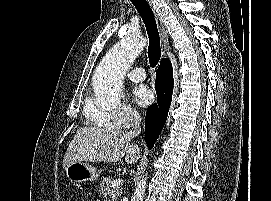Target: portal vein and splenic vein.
<instances>
[{
    "instance_id": "obj_1",
    "label": "portal vein and splenic vein",
    "mask_w": 271,
    "mask_h": 201,
    "mask_svg": "<svg viewBox=\"0 0 271 201\" xmlns=\"http://www.w3.org/2000/svg\"><path fill=\"white\" fill-rule=\"evenodd\" d=\"M123 184V180L122 179H116L112 182V187L113 188H117L119 186H121Z\"/></svg>"
}]
</instances>
